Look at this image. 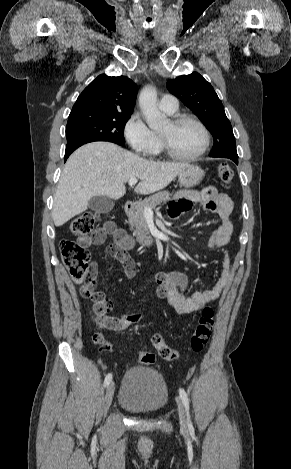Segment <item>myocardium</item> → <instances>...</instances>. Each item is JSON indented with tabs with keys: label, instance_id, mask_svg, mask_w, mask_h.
Wrapping results in <instances>:
<instances>
[{
	"label": "myocardium",
	"instance_id": "1",
	"mask_svg": "<svg viewBox=\"0 0 291 469\" xmlns=\"http://www.w3.org/2000/svg\"><path fill=\"white\" fill-rule=\"evenodd\" d=\"M185 121L193 122L194 124H196L199 127V129L202 132L203 143H202V146L199 149V151H197L195 154H192V155H189V156H181V155L175 153L172 150V148L169 145L167 139L161 134H160V142H161V148H162L163 152L168 157H170L171 159L176 160V161H181V162H191V161H195V160L199 159L200 157H202L206 153V151L208 150L209 145H210L211 137H210V132H209L208 128L205 126V124L194 115H191V114H177V115H174L172 117L170 122L173 125H178V124H181L182 122H185Z\"/></svg>",
	"mask_w": 291,
	"mask_h": 469
}]
</instances>
